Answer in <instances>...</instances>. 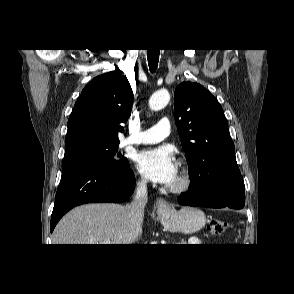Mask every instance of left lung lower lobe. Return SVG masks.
<instances>
[{
    "label": "left lung lower lobe",
    "mask_w": 294,
    "mask_h": 294,
    "mask_svg": "<svg viewBox=\"0 0 294 294\" xmlns=\"http://www.w3.org/2000/svg\"><path fill=\"white\" fill-rule=\"evenodd\" d=\"M178 202L184 206L242 209L245 205L243 178L241 174L214 176L203 191L191 186L178 197Z\"/></svg>",
    "instance_id": "0a47b994"
}]
</instances>
